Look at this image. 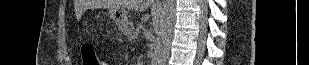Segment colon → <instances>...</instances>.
Wrapping results in <instances>:
<instances>
[{
  "mask_svg": "<svg viewBox=\"0 0 309 65\" xmlns=\"http://www.w3.org/2000/svg\"><path fill=\"white\" fill-rule=\"evenodd\" d=\"M81 54L83 65H103L92 45L83 44L81 47Z\"/></svg>",
  "mask_w": 309,
  "mask_h": 65,
  "instance_id": "colon-1",
  "label": "colon"
}]
</instances>
